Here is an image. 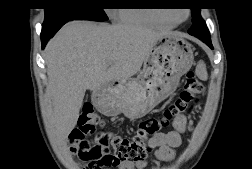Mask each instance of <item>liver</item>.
<instances>
[{
    "mask_svg": "<svg viewBox=\"0 0 252 169\" xmlns=\"http://www.w3.org/2000/svg\"><path fill=\"white\" fill-rule=\"evenodd\" d=\"M171 34L91 21L64 25L45 48L54 136L64 140L76 126L86 90L131 78L159 39Z\"/></svg>",
    "mask_w": 252,
    "mask_h": 169,
    "instance_id": "liver-1",
    "label": "liver"
}]
</instances>
